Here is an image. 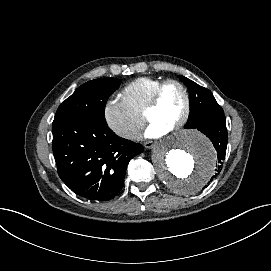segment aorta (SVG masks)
I'll return each mask as SVG.
<instances>
[{
	"mask_svg": "<svg viewBox=\"0 0 271 271\" xmlns=\"http://www.w3.org/2000/svg\"><path fill=\"white\" fill-rule=\"evenodd\" d=\"M216 160L210 141L195 130H181L166 137L152 152L157 175L180 195L199 192L214 174Z\"/></svg>",
	"mask_w": 271,
	"mask_h": 271,
	"instance_id": "1",
	"label": "aorta"
}]
</instances>
